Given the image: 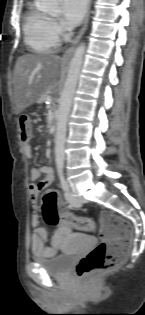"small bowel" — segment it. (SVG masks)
Masks as SVG:
<instances>
[{"instance_id":"obj_1","label":"small bowel","mask_w":145,"mask_h":315,"mask_svg":"<svg viewBox=\"0 0 145 315\" xmlns=\"http://www.w3.org/2000/svg\"><path fill=\"white\" fill-rule=\"evenodd\" d=\"M23 150L27 157H32L30 144H24ZM53 178V172L49 166L33 167L30 170L31 183L28 191L33 206L37 205L39 194L52 183ZM31 224L34 229L30 237L31 251L37 257L55 256L61 248L63 240L72 230V227L64 222L58 223L56 231L51 238V245L46 246L45 242L49 236L48 230L40 226L39 213L37 211H34L32 214Z\"/></svg>"}]
</instances>
